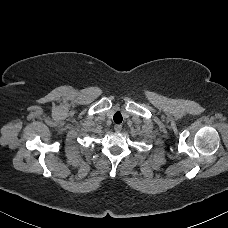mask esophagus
Returning a JSON list of instances; mask_svg holds the SVG:
<instances>
[{
    "label": "esophagus",
    "mask_w": 228,
    "mask_h": 228,
    "mask_svg": "<svg viewBox=\"0 0 228 228\" xmlns=\"http://www.w3.org/2000/svg\"><path fill=\"white\" fill-rule=\"evenodd\" d=\"M114 130H115V132H120L122 130V126L121 125H115Z\"/></svg>",
    "instance_id": "34e87169"
}]
</instances>
